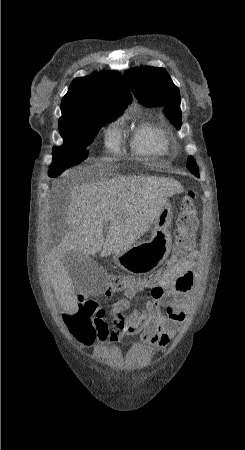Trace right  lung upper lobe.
<instances>
[{"label": "right lung upper lobe", "instance_id": "1", "mask_svg": "<svg viewBox=\"0 0 245 450\" xmlns=\"http://www.w3.org/2000/svg\"><path fill=\"white\" fill-rule=\"evenodd\" d=\"M132 96L124 77L117 71H103L72 81L62 98V117L76 114L96 104L127 107Z\"/></svg>", "mask_w": 245, "mask_h": 450}]
</instances>
